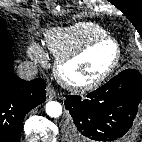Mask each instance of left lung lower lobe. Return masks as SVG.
I'll return each instance as SVG.
<instances>
[{
	"mask_svg": "<svg viewBox=\"0 0 142 142\" xmlns=\"http://www.w3.org/2000/svg\"><path fill=\"white\" fill-rule=\"evenodd\" d=\"M142 100V76L126 69L99 89L68 96L65 107L72 121L69 142H122L129 136Z\"/></svg>",
	"mask_w": 142,
	"mask_h": 142,
	"instance_id": "left-lung-lower-lobe-1",
	"label": "left lung lower lobe"
}]
</instances>
